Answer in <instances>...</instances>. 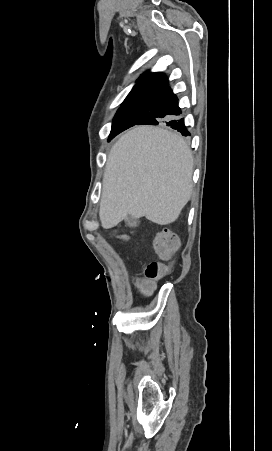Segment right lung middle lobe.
Segmentation results:
<instances>
[{
	"instance_id": "dd1d6c3e",
	"label": "right lung middle lobe",
	"mask_w": 272,
	"mask_h": 451,
	"mask_svg": "<svg viewBox=\"0 0 272 451\" xmlns=\"http://www.w3.org/2000/svg\"><path fill=\"white\" fill-rule=\"evenodd\" d=\"M152 99L125 100L114 117L109 140L142 119L149 112Z\"/></svg>"
}]
</instances>
